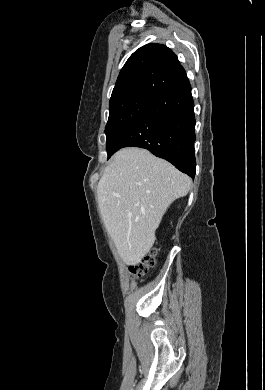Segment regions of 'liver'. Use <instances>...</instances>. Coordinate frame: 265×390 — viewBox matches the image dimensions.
<instances>
[{
  "mask_svg": "<svg viewBox=\"0 0 265 390\" xmlns=\"http://www.w3.org/2000/svg\"><path fill=\"white\" fill-rule=\"evenodd\" d=\"M191 179L148 150L128 147L112 158L97 186L105 227L126 265L138 264L155 242L164 213L188 194Z\"/></svg>",
  "mask_w": 265,
  "mask_h": 390,
  "instance_id": "liver-1",
  "label": "liver"
}]
</instances>
